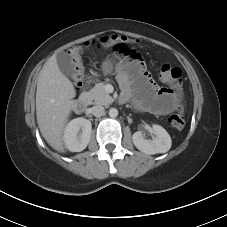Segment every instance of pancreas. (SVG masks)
<instances>
[{
  "mask_svg": "<svg viewBox=\"0 0 227 227\" xmlns=\"http://www.w3.org/2000/svg\"><path fill=\"white\" fill-rule=\"evenodd\" d=\"M89 103L110 105L114 99L105 91V83L96 84L88 93Z\"/></svg>",
  "mask_w": 227,
  "mask_h": 227,
  "instance_id": "1",
  "label": "pancreas"
}]
</instances>
